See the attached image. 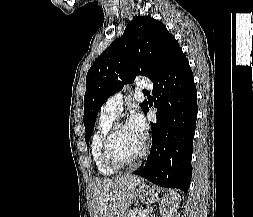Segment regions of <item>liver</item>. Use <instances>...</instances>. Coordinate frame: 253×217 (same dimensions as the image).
I'll list each match as a JSON object with an SVG mask.
<instances>
[{
	"mask_svg": "<svg viewBox=\"0 0 253 217\" xmlns=\"http://www.w3.org/2000/svg\"><path fill=\"white\" fill-rule=\"evenodd\" d=\"M141 181L140 177L132 175L96 180L92 185L91 202L94 217H124Z\"/></svg>",
	"mask_w": 253,
	"mask_h": 217,
	"instance_id": "obj_1",
	"label": "liver"
}]
</instances>
